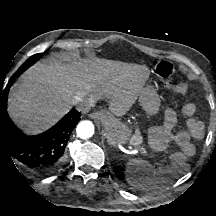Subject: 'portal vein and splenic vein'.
I'll return each mask as SVG.
<instances>
[{
    "mask_svg": "<svg viewBox=\"0 0 216 216\" xmlns=\"http://www.w3.org/2000/svg\"><path fill=\"white\" fill-rule=\"evenodd\" d=\"M129 148L130 149H134V150H138V151H141V152H143V153H146V150L144 149V148H142V147H134V146H129Z\"/></svg>",
    "mask_w": 216,
    "mask_h": 216,
    "instance_id": "portal-vein-and-splenic-vein-1",
    "label": "portal vein and splenic vein"
}]
</instances>
